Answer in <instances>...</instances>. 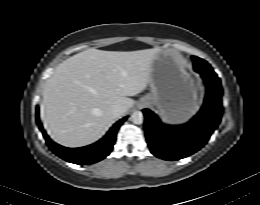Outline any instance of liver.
<instances>
[{
    "label": "liver",
    "instance_id": "obj_1",
    "mask_svg": "<svg viewBox=\"0 0 260 205\" xmlns=\"http://www.w3.org/2000/svg\"><path fill=\"white\" fill-rule=\"evenodd\" d=\"M159 47L137 51L80 52L60 63L46 81L41 118L54 141L82 147L100 139L114 118L115 105L134 106L135 96L150 83Z\"/></svg>",
    "mask_w": 260,
    "mask_h": 205
}]
</instances>
